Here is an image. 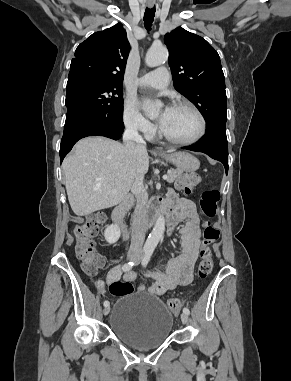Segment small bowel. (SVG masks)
Returning a JSON list of instances; mask_svg holds the SVG:
<instances>
[{
	"mask_svg": "<svg viewBox=\"0 0 291 381\" xmlns=\"http://www.w3.org/2000/svg\"><path fill=\"white\" fill-rule=\"evenodd\" d=\"M165 204L167 206V222L171 233L180 222L184 221V225L180 229L182 251L176 258L168 261L164 270L146 273V276L152 278L153 281L149 286L140 284L139 289L154 296H161L168 290L192 281L194 264L199 249L200 228L195 205L189 200L177 198L174 193L170 194ZM136 278V273H122L120 266H115L110 269L106 279L98 281L96 286L101 292H104L106 284H112L119 280L132 282Z\"/></svg>",
	"mask_w": 291,
	"mask_h": 381,
	"instance_id": "obj_1",
	"label": "small bowel"
}]
</instances>
